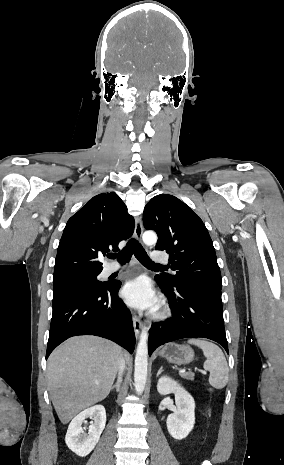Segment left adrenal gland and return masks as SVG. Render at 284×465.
<instances>
[{
	"label": "left adrenal gland",
	"mask_w": 284,
	"mask_h": 465,
	"mask_svg": "<svg viewBox=\"0 0 284 465\" xmlns=\"http://www.w3.org/2000/svg\"><path fill=\"white\" fill-rule=\"evenodd\" d=\"M162 371H163V367H160V369H159V371L157 373V377H159V375H161Z\"/></svg>",
	"instance_id": "obj_1"
}]
</instances>
